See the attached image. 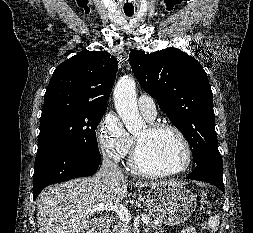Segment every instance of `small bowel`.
I'll use <instances>...</instances> for the list:
<instances>
[{"instance_id":"1","label":"small bowel","mask_w":253,"mask_h":233,"mask_svg":"<svg viewBox=\"0 0 253 233\" xmlns=\"http://www.w3.org/2000/svg\"><path fill=\"white\" fill-rule=\"evenodd\" d=\"M181 233H197V232L193 227L187 226L182 229Z\"/></svg>"}]
</instances>
